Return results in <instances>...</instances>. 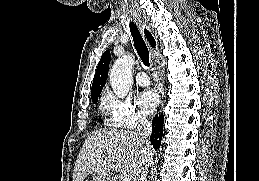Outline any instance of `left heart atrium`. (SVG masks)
<instances>
[{"instance_id":"left-heart-atrium-1","label":"left heart atrium","mask_w":259,"mask_h":181,"mask_svg":"<svg viewBox=\"0 0 259 181\" xmlns=\"http://www.w3.org/2000/svg\"><path fill=\"white\" fill-rule=\"evenodd\" d=\"M136 102L145 113H152L159 104V96L155 90L145 89L137 95Z\"/></svg>"}]
</instances>
